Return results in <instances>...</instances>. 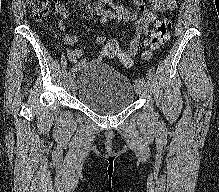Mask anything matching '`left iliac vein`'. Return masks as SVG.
<instances>
[{
	"label": "left iliac vein",
	"instance_id": "4c4485c4",
	"mask_svg": "<svg viewBox=\"0 0 219 192\" xmlns=\"http://www.w3.org/2000/svg\"><path fill=\"white\" fill-rule=\"evenodd\" d=\"M150 91V80L149 79H141L136 83V92L139 96H147Z\"/></svg>",
	"mask_w": 219,
	"mask_h": 192
}]
</instances>
